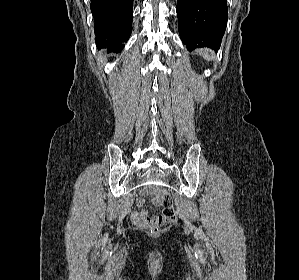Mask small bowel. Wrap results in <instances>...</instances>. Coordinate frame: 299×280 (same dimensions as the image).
<instances>
[{
    "instance_id": "small-bowel-1",
    "label": "small bowel",
    "mask_w": 299,
    "mask_h": 280,
    "mask_svg": "<svg viewBox=\"0 0 299 280\" xmlns=\"http://www.w3.org/2000/svg\"><path fill=\"white\" fill-rule=\"evenodd\" d=\"M144 200L140 198L137 202L138 206H141L143 204ZM131 218L134 222L146 226L148 222L150 221V218L147 217L145 212L135 210L131 213Z\"/></svg>"
}]
</instances>
